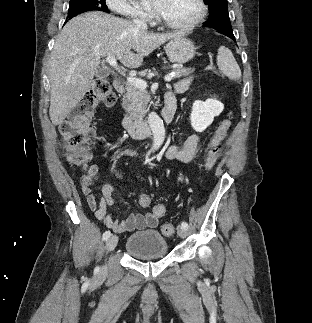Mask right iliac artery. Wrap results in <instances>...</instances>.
<instances>
[{"label":"right iliac artery","instance_id":"1","mask_svg":"<svg viewBox=\"0 0 312 323\" xmlns=\"http://www.w3.org/2000/svg\"><path fill=\"white\" fill-rule=\"evenodd\" d=\"M111 235V232L110 231H106L103 233V240H107Z\"/></svg>","mask_w":312,"mask_h":323}]
</instances>
